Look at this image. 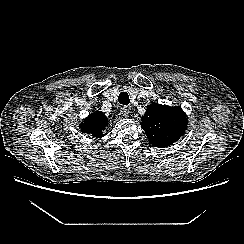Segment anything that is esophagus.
Wrapping results in <instances>:
<instances>
[{
  "mask_svg": "<svg viewBox=\"0 0 244 244\" xmlns=\"http://www.w3.org/2000/svg\"><path fill=\"white\" fill-rule=\"evenodd\" d=\"M121 113H122V115L124 116V117H129V114H130V110H129V108L127 107V106H123L122 108H121Z\"/></svg>",
  "mask_w": 244,
  "mask_h": 244,
  "instance_id": "obj_1",
  "label": "esophagus"
}]
</instances>
